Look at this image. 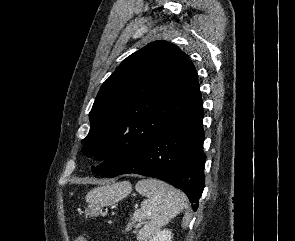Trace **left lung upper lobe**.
<instances>
[{
  "label": "left lung upper lobe",
  "instance_id": "5c2ea615",
  "mask_svg": "<svg viewBox=\"0 0 295 241\" xmlns=\"http://www.w3.org/2000/svg\"><path fill=\"white\" fill-rule=\"evenodd\" d=\"M188 55L156 41L127 57L101 86L89 117L84 155L106 159L94 173L110 177L159 132L201 103Z\"/></svg>",
  "mask_w": 295,
  "mask_h": 241
}]
</instances>
